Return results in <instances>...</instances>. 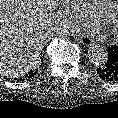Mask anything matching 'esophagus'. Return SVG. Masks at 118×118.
I'll use <instances>...</instances> for the list:
<instances>
[{
	"mask_svg": "<svg viewBox=\"0 0 118 118\" xmlns=\"http://www.w3.org/2000/svg\"><path fill=\"white\" fill-rule=\"evenodd\" d=\"M76 39L79 43L84 44L86 46H91L94 42L88 35L81 34V33H78Z\"/></svg>",
	"mask_w": 118,
	"mask_h": 118,
	"instance_id": "obj_1",
	"label": "esophagus"
}]
</instances>
